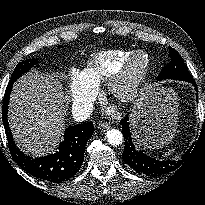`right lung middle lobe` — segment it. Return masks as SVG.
<instances>
[{"label":"right lung middle lobe","mask_w":205,"mask_h":205,"mask_svg":"<svg viewBox=\"0 0 205 205\" xmlns=\"http://www.w3.org/2000/svg\"><path fill=\"white\" fill-rule=\"evenodd\" d=\"M59 47H62V46H59ZM37 63H39L37 59H28L23 62H20L16 66L9 83L10 84L14 83L22 74L26 73Z\"/></svg>","instance_id":"obj_1"}]
</instances>
